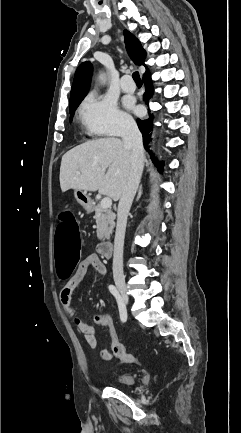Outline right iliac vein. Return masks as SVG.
Here are the masks:
<instances>
[{"instance_id": "right-iliac-vein-1", "label": "right iliac vein", "mask_w": 241, "mask_h": 433, "mask_svg": "<svg viewBox=\"0 0 241 433\" xmlns=\"http://www.w3.org/2000/svg\"><path fill=\"white\" fill-rule=\"evenodd\" d=\"M116 286L121 293L123 303L126 305L128 303L127 286L124 281H117Z\"/></svg>"}]
</instances>
